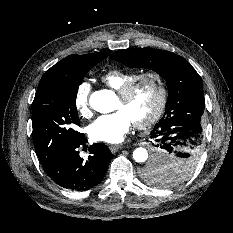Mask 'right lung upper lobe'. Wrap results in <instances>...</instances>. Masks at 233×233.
Returning a JSON list of instances; mask_svg holds the SVG:
<instances>
[{"mask_svg":"<svg viewBox=\"0 0 233 233\" xmlns=\"http://www.w3.org/2000/svg\"><path fill=\"white\" fill-rule=\"evenodd\" d=\"M109 52H96L85 55H70L48 69L40 80L37 92L44 87L62 82L70 74H73L95 61H102Z\"/></svg>","mask_w":233,"mask_h":233,"instance_id":"right-lung-upper-lobe-1","label":"right lung upper lobe"}]
</instances>
